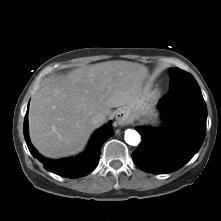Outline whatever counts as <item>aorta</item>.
I'll use <instances>...</instances> for the list:
<instances>
[{
  "label": "aorta",
  "mask_w": 221,
  "mask_h": 221,
  "mask_svg": "<svg viewBox=\"0 0 221 221\" xmlns=\"http://www.w3.org/2000/svg\"><path fill=\"white\" fill-rule=\"evenodd\" d=\"M125 141L127 144L132 145V146H137L140 143V134L132 129H127L125 131Z\"/></svg>",
  "instance_id": "obj_1"
}]
</instances>
